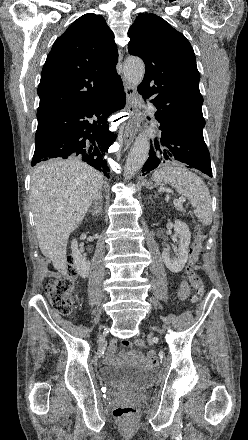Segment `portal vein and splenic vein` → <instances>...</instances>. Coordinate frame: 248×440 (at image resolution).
Instances as JSON below:
<instances>
[{
    "mask_svg": "<svg viewBox=\"0 0 248 440\" xmlns=\"http://www.w3.org/2000/svg\"><path fill=\"white\" fill-rule=\"evenodd\" d=\"M185 201V199H175L174 200V205H180L182 202H184Z\"/></svg>",
    "mask_w": 248,
    "mask_h": 440,
    "instance_id": "portal-vein-and-splenic-vein-1",
    "label": "portal vein and splenic vein"
}]
</instances>
